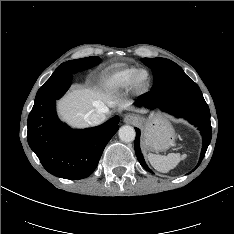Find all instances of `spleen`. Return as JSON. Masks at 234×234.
I'll list each match as a JSON object with an SVG mask.
<instances>
[{"label": "spleen", "instance_id": "1", "mask_svg": "<svg viewBox=\"0 0 234 234\" xmlns=\"http://www.w3.org/2000/svg\"><path fill=\"white\" fill-rule=\"evenodd\" d=\"M186 157V154L180 155L179 153H170L168 155H157L149 153L147 158L154 169L157 171L167 173L175 168L181 160Z\"/></svg>", "mask_w": 234, "mask_h": 234}]
</instances>
